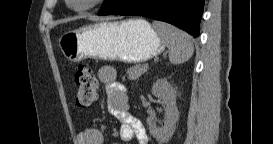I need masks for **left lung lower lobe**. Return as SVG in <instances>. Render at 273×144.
Returning a JSON list of instances; mask_svg holds the SVG:
<instances>
[{
    "instance_id": "0a47b994",
    "label": "left lung lower lobe",
    "mask_w": 273,
    "mask_h": 144,
    "mask_svg": "<svg viewBox=\"0 0 273 144\" xmlns=\"http://www.w3.org/2000/svg\"><path fill=\"white\" fill-rule=\"evenodd\" d=\"M205 0H113L98 15L143 16L164 21L199 36Z\"/></svg>"
}]
</instances>
